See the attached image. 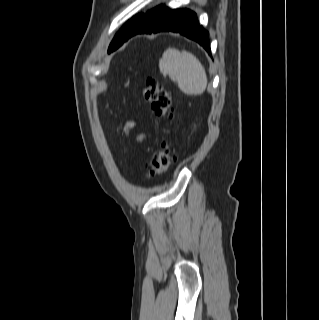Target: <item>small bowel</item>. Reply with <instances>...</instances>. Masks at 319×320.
<instances>
[{"label":"small bowel","mask_w":319,"mask_h":320,"mask_svg":"<svg viewBox=\"0 0 319 320\" xmlns=\"http://www.w3.org/2000/svg\"><path fill=\"white\" fill-rule=\"evenodd\" d=\"M134 125H135V123L133 121H129L125 124L124 132L126 135L129 134V131L134 127ZM144 139H145V136L143 134H140L138 136V141L142 142V141H144Z\"/></svg>","instance_id":"1"}]
</instances>
